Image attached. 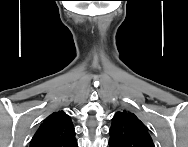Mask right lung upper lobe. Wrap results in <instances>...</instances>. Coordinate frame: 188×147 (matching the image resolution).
Wrapping results in <instances>:
<instances>
[{
	"label": "right lung upper lobe",
	"mask_w": 188,
	"mask_h": 147,
	"mask_svg": "<svg viewBox=\"0 0 188 147\" xmlns=\"http://www.w3.org/2000/svg\"><path fill=\"white\" fill-rule=\"evenodd\" d=\"M30 147H77L70 116L63 111L49 115L33 136Z\"/></svg>",
	"instance_id": "obj_1"
}]
</instances>
